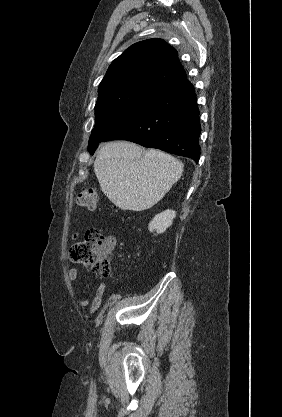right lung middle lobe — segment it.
Here are the masks:
<instances>
[{"mask_svg":"<svg viewBox=\"0 0 282 417\" xmlns=\"http://www.w3.org/2000/svg\"><path fill=\"white\" fill-rule=\"evenodd\" d=\"M157 92L125 90L99 95L95 106V126L89 139L92 154L110 133L125 124L149 104Z\"/></svg>","mask_w":282,"mask_h":417,"instance_id":"obj_1","label":"right lung middle lobe"}]
</instances>
